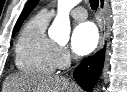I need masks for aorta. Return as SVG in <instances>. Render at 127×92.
I'll return each mask as SVG.
<instances>
[{"label": "aorta", "instance_id": "1", "mask_svg": "<svg viewBox=\"0 0 127 92\" xmlns=\"http://www.w3.org/2000/svg\"><path fill=\"white\" fill-rule=\"evenodd\" d=\"M80 0H58V13L50 27V36L58 43H66L70 35L69 12Z\"/></svg>", "mask_w": 127, "mask_h": 92}]
</instances>
